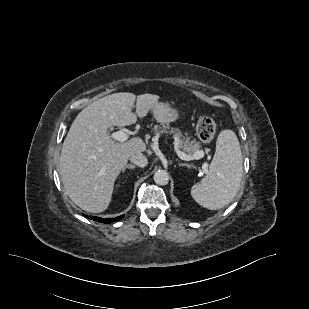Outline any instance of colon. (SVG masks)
<instances>
[{
  "instance_id": "colon-1",
  "label": "colon",
  "mask_w": 309,
  "mask_h": 309,
  "mask_svg": "<svg viewBox=\"0 0 309 309\" xmlns=\"http://www.w3.org/2000/svg\"><path fill=\"white\" fill-rule=\"evenodd\" d=\"M216 131V124L209 116H202L197 123V135L203 144H208L212 141Z\"/></svg>"
}]
</instances>
